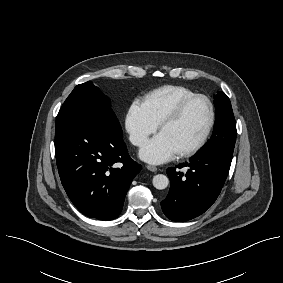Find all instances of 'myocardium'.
<instances>
[{"instance_id": "obj_1", "label": "myocardium", "mask_w": 283, "mask_h": 283, "mask_svg": "<svg viewBox=\"0 0 283 283\" xmlns=\"http://www.w3.org/2000/svg\"><path fill=\"white\" fill-rule=\"evenodd\" d=\"M198 99H203L207 102L208 106H209V121L207 124V127L203 133V135L201 136V138L192 146H190L189 148L181 151L178 153L179 157H189L193 154H195L197 151H199L204 144L207 142L212 129L214 127L215 124V117H216V113H215V106L214 103L212 102V100L204 95V94H194L192 96H189L187 98H185L184 100H182L175 108L174 110L167 115L159 124V131H161L163 128H165L166 126L175 123L176 121H178L180 119V117L182 116V114L184 113L185 109L188 107L189 104H191L193 101L198 100Z\"/></svg>"}]
</instances>
